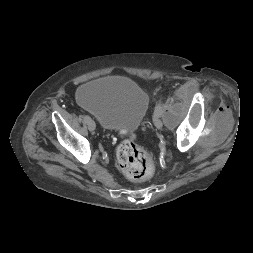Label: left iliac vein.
<instances>
[{"label":"left iliac vein","instance_id":"1","mask_svg":"<svg viewBox=\"0 0 253 253\" xmlns=\"http://www.w3.org/2000/svg\"><path fill=\"white\" fill-rule=\"evenodd\" d=\"M153 121H154V125L156 126L157 129H161L162 128L163 122L160 119V115L158 113H154Z\"/></svg>","mask_w":253,"mask_h":253}]
</instances>
